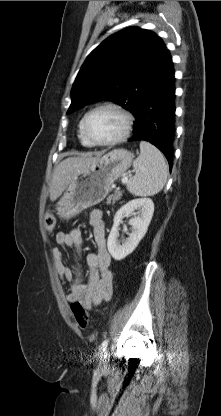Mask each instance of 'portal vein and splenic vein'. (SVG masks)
<instances>
[{
  "mask_svg": "<svg viewBox=\"0 0 221 416\" xmlns=\"http://www.w3.org/2000/svg\"><path fill=\"white\" fill-rule=\"evenodd\" d=\"M127 181H128V177L125 176L122 178V183H126Z\"/></svg>",
  "mask_w": 221,
  "mask_h": 416,
  "instance_id": "obj_1",
  "label": "portal vein and splenic vein"
}]
</instances>
